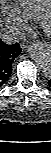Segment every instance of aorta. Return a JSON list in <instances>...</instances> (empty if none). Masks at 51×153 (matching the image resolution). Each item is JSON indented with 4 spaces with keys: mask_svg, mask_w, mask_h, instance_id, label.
Masks as SVG:
<instances>
[{
    "mask_svg": "<svg viewBox=\"0 0 51 153\" xmlns=\"http://www.w3.org/2000/svg\"><path fill=\"white\" fill-rule=\"evenodd\" d=\"M31 54L34 59L38 62L42 71L46 76L51 75V51L45 45H33L31 47Z\"/></svg>",
    "mask_w": 51,
    "mask_h": 153,
    "instance_id": "1",
    "label": "aorta"
}]
</instances>
